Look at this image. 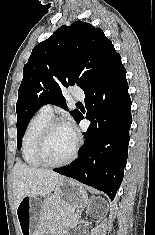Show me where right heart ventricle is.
<instances>
[{"instance_id":"1","label":"right heart ventricle","mask_w":155,"mask_h":235,"mask_svg":"<svg viewBox=\"0 0 155 235\" xmlns=\"http://www.w3.org/2000/svg\"><path fill=\"white\" fill-rule=\"evenodd\" d=\"M52 119L41 111L37 112L28 122L21 139V155L26 164L40 167L42 163L36 156V146L45 125Z\"/></svg>"}]
</instances>
